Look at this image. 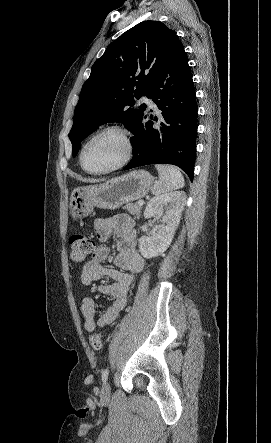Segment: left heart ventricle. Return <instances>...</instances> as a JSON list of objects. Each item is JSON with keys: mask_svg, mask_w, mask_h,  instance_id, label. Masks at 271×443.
Returning <instances> with one entry per match:
<instances>
[{"mask_svg": "<svg viewBox=\"0 0 271 443\" xmlns=\"http://www.w3.org/2000/svg\"><path fill=\"white\" fill-rule=\"evenodd\" d=\"M125 153L122 136L115 131L94 138L85 148L84 164L90 170H102L115 165Z\"/></svg>", "mask_w": 271, "mask_h": 443, "instance_id": "b2bd125f", "label": "left heart ventricle"}]
</instances>
